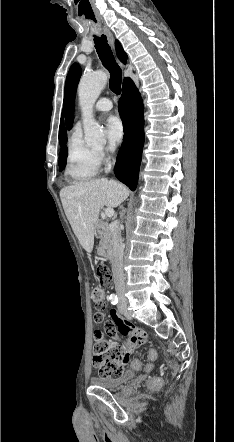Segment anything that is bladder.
Here are the masks:
<instances>
[{"label":"bladder","mask_w":234,"mask_h":442,"mask_svg":"<svg viewBox=\"0 0 234 442\" xmlns=\"http://www.w3.org/2000/svg\"><path fill=\"white\" fill-rule=\"evenodd\" d=\"M134 377V371L133 370H125L118 376L113 377H104V376H98L92 378V383L95 386L114 390L120 387L122 384L130 381Z\"/></svg>","instance_id":"1"}]
</instances>
